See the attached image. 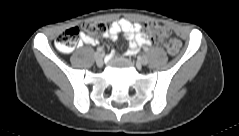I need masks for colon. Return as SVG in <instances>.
<instances>
[{
  "label": "colon",
  "instance_id": "colon-1",
  "mask_svg": "<svg viewBox=\"0 0 239 136\" xmlns=\"http://www.w3.org/2000/svg\"><path fill=\"white\" fill-rule=\"evenodd\" d=\"M145 29L150 33L153 40L159 42L169 54L175 55L179 52L180 41L170 37L164 26L156 23H148ZM83 30L88 36L96 38L107 32L108 25L104 22H89L83 25ZM80 34L81 30L78 27H72L62 32L56 38V47L62 52L71 51L78 44Z\"/></svg>",
  "mask_w": 239,
  "mask_h": 136
}]
</instances>
